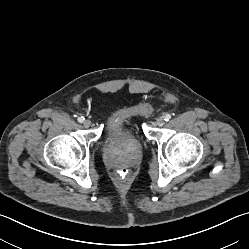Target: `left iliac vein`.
Returning a JSON list of instances; mask_svg holds the SVG:
<instances>
[{
	"label": "left iliac vein",
	"mask_w": 249,
	"mask_h": 249,
	"mask_svg": "<svg viewBox=\"0 0 249 249\" xmlns=\"http://www.w3.org/2000/svg\"><path fill=\"white\" fill-rule=\"evenodd\" d=\"M164 123H165V121L162 117L156 119V125L163 126Z\"/></svg>",
	"instance_id": "1"
}]
</instances>
